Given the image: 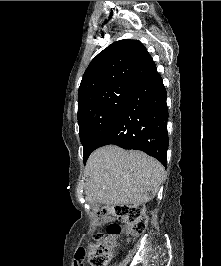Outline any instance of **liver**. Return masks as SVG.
<instances>
[{
	"label": "liver",
	"instance_id": "1",
	"mask_svg": "<svg viewBox=\"0 0 221 266\" xmlns=\"http://www.w3.org/2000/svg\"><path fill=\"white\" fill-rule=\"evenodd\" d=\"M164 174L161 163L145 153L108 145L87 161L85 193L99 205H140L155 197Z\"/></svg>",
	"mask_w": 221,
	"mask_h": 266
}]
</instances>
